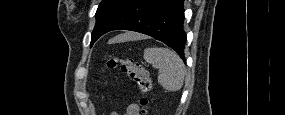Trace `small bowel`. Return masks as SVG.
I'll return each instance as SVG.
<instances>
[{"mask_svg":"<svg viewBox=\"0 0 285 115\" xmlns=\"http://www.w3.org/2000/svg\"><path fill=\"white\" fill-rule=\"evenodd\" d=\"M116 114V113H113ZM139 107L136 104H131L126 109L125 115H139Z\"/></svg>","mask_w":285,"mask_h":115,"instance_id":"1","label":"small bowel"}]
</instances>
